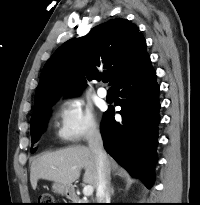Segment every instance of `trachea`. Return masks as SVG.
<instances>
[{"mask_svg":"<svg viewBox=\"0 0 200 205\" xmlns=\"http://www.w3.org/2000/svg\"><path fill=\"white\" fill-rule=\"evenodd\" d=\"M108 81H109V76L108 75L103 76V82L107 83Z\"/></svg>","mask_w":200,"mask_h":205,"instance_id":"trachea-1","label":"trachea"}]
</instances>
